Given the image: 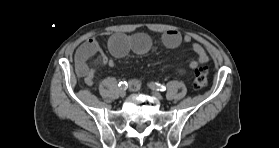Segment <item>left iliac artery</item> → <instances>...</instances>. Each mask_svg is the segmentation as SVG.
I'll return each mask as SVG.
<instances>
[{
  "label": "left iliac artery",
  "instance_id": "1",
  "mask_svg": "<svg viewBox=\"0 0 279 148\" xmlns=\"http://www.w3.org/2000/svg\"><path fill=\"white\" fill-rule=\"evenodd\" d=\"M150 87H151V89L158 90V91H165L166 90L165 85L159 84V83H154V82L150 83Z\"/></svg>",
  "mask_w": 279,
  "mask_h": 148
}]
</instances>
